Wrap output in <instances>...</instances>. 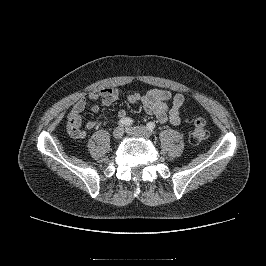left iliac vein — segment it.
I'll return each mask as SVG.
<instances>
[{
	"mask_svg": "<svg viewBox=\"0 0 266 266\" xmlns=\"http://www.w3.org/2000/svg\"><path fill=\"white\" fill-rule=\"evenodd\" d=\"M126 132L129 135H133L136 137H145V138H149L152 135V131L149 130L147 127L145 126H135V127H129L126 128Z\"/></svg>",
	"mask_w": 266,
	"mask_h": 266,
	"instance_id": "obj_1",
	"label": "left iliac vein"
}]
</instances>
